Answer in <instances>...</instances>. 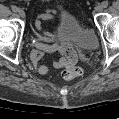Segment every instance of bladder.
I'll return each mask as SVG.
<instances>
[{
    "label": "bladder",
    "mask_w": 119,
    "mask_h": 119,
    "mask_svg": "<svg viewBox=\"0 0 119 119\" xmlns=\"http://www.w3.org/2000/svg\"><path fill=\"white\" fill-rule=\"evenodd\" d=\"M57 34L85 51H93L98 47L94 31L84 26L74 14L65 9L60 10Z\"/></svg>",
    "instance_id": "bladder-1"
}]
</instances>
